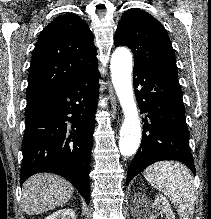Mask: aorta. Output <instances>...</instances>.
I'll list each match as a JSON object with an SVG mask.
<instances>
[{"mask_svg": "<svg viewBox=\"0 0 211 219\" xmlns=\"http://www.w3.org/2000/svg\"><path fill=\"white\" fill-rule=\"evenodd\" d=\"M112 83L124 113L119 149L123 156L136 153L141 142V126L132 89V54L125 47L117 48L111 58Z\"/></svg>", "mask_w": 211, "mask_h": 219, "instance_id": "aorta-1", "label": "aorta"}]
</instances>
